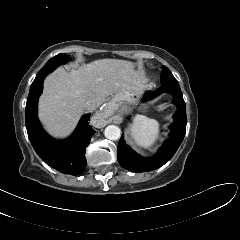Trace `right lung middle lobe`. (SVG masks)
Returning <instances> with one entry per match:
<instances>
[{"instance_id":"1","label":"right lung middle lobe","mask_w":240,"mask_h":240,"mask_svg":"<svg viewBox=\"0 0 240 240\" xmlns=\"http://www.w3.org/2000/svg\"><path fill=\"white\" fill-rule=\"evenodd\" d=\"M69 56L66 54H58L55 57L51 58L45 66L38 72L35 80L32 85L36 84L38 79H40L43 75H47L54 71L59 65L65 64L68 61Z\"/></svg>"}]
</instances>
